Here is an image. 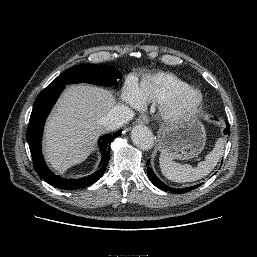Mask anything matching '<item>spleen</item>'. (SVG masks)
<instances>
[{
  "mask_svg": "<svg viewBox=\"0 0 257 257\" xmlns=\"http://www.w3.org/2000/svg\"><path fill=\"white\" fill-rule=\"evenodd\" d=\"M224 143V139L219 138L213 150L206 155L204 161L198 163L197 167H192L189 164L182 165L176 163L168 151L162 150L159 159L161 172L167 179L179 183L201 179L207 176L216 166L223 155Z\"/></svg>",
  "mask_w": 257,
  "mask_h": 257,
  "instance_id": "obj_1",
  "label": "spleen"
}]
</instances>
